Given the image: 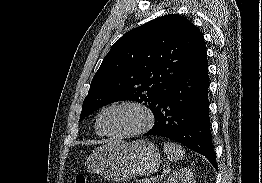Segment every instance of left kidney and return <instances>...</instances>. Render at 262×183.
I'll return each mask as SVG.
<instances>
[{"instance_id":"obj_1","label":"left kidney","mask_w":262,"mask_h":183,"mask_svg":"<svg viewBox=\"0 0 262 183\" xmlns=\"http://www.w3.org/2000/svg\"><path fill=\"white\" fill-rule=\"evenodd\" d=\"M193 178V173L190 168H181L173 172L164 183H194Z\"/></svg>"}]
</instances>
